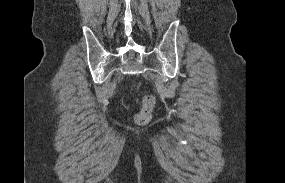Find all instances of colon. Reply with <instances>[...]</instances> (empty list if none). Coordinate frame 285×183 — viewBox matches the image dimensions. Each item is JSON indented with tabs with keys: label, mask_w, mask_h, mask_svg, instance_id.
I'll list each match as a JSON object with an SVG mask.
<instances>
[{
	"label": "colon",
	"mask_w": 285,
	"mask_h": 183,
	"mask_svg": "<svg viewBox=\"0 0 285 183\" xmlns=\"http://www.w3.org/2000/svg\"><path fill=\"white\" fill-rule=\"evenodd\" d=\"M154 107V98L151 95H148L143 100V106L140 111H138L134 120L137 124L143 125L147 124L151 119V113Z\"/></svg>",
	"instance_id": "colon-1"
}]
</instances>
